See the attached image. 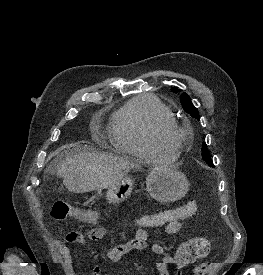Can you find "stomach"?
I'll return each mask as SVG.
<instances>
[{"mask_svg":"<svg viewBox=\"0 0 263 275\" xmlns=\"http://www.w3.org/2000/svg\"><path fill=\"white\" fill-rule=\"evenodd\" d=\"M138 168V167H137ZM134 178L126 174L120 181L108 188V203L118 204L127 199L134 188ZM186 176L171 166H155L146 178V190L152 198L161 203L175 202L188 192Z\"/></svg>","mask_w":263,"mask_h":275,"instance_id":"1","label":"stomach"}]
</instances>
